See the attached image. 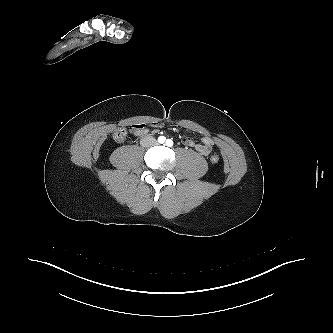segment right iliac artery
Here are the masks:
<instances>
[{
  "label": "right iliac artery",
  "mask_w": 333,
  "mask_h": 333,
  "mask_svg": "<svg viewBox=\"0 0 333 333\" xmlns=\"http://www.w3.org/2000/svg\"><path fill=\"white\" fill-rule=\"evenodd\" d=\"M166 141V138L164 137V136H160L159 138H158V142L159 143H164Z\"/></svg>",
  "instance_id": "82829eb1"
}]
</instances>
